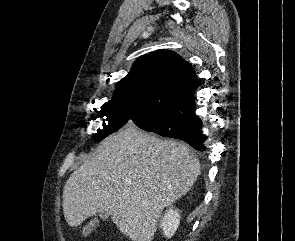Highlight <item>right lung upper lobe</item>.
<instances>
[{
    "label": "right lung upper lobe",
    "mask_w": 295,
    "mask_h": 241,
    "mask_svg": "<svg viewBox=\"0 0 295 241\" xmlns=\"http://www.w3.org/2000/svg\"><path fill=\"white\" fill-rule=\"evenodd\" d=\"M195 71L178 54L157 50L143 55L118 82L113 99L168 113L194 101Z\"/></svg>",
    "instance_id": "1"
}]
</instances>
